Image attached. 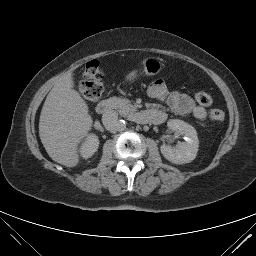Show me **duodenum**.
<instances>
[{
  "label": "duodenum",
  "instance_id": "1",
  "mask_svg": "<svg viewBox=\"0 0 256 256\" xmlns=\"http://www.w3.org/2000/svg\"><path fill=\"white\" fill-rule=\"evenodd\" d=\"M113 107V102L109 99L103 100L96 106V112L99 114L108 113ZM157 114L152 112L151 110L140 111L136 113L133 118L138 123L146 124V123H155Z\"/></svg>",
  "mask_w": 256,
  "mask_h": 256
}]
</instances>
